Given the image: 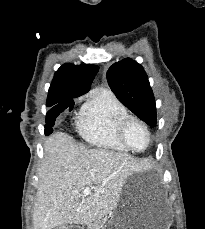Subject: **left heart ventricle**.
<instances>
[{"label": "left heart ventricle", "instance_id": "b2bd125f", "mask_svg": "<svg viewBox=\"0 0 205 229\" xmlns=\"http://www.w3.org/2000/svg\"><path fill=\"white\" fill-rule=\"evenodd\" d=\"M129 143L136 149H143L147 144V136L144 129L137 123H133L127 130Z\"/></svg>", "mask_w": 205, "mask_h": 229}]
</instances>
